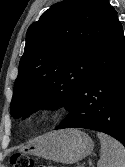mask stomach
<instances>
[{
    "instance_id": "obj_1",
    "label": "stomach",
    "mask_w": 125,
    "mask_h": 167,
    "mask_svg": "<svg viewBox=\"0 0 125 167\" xmlns=\"http://www.w3.org/2000/svg\"><path fill=\"white\" fill-rule=\"evenodd\" d=\"M94 143L78 129H65L42 135L22 148L27 154L48 160L72 164L79 162L93 151Z\"/></svg>"
}]
</instances>
